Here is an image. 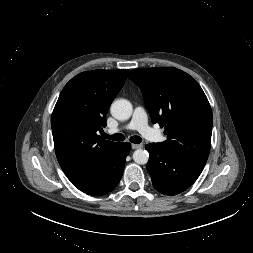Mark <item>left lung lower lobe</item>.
I'll return each mask as SVG.
<instances>
[{
  "mask_svg": "<svg viewBox=\"0 0 253 253\" xmlns=\"http://www.w3.org/2000/svg\"><path fill=\"white\" fill-rule=\"evenodd\" d=\"M150 154L147 170L153 186L164 195H176L188 189L204 167L170 154L159 143L147 144Z\"/></svg>",
  "mask_w": 253,
  "mask_h": 253,
  "instance_id": "obj_1",
  "label": "left lung lower lobe"
}]
</instances>
